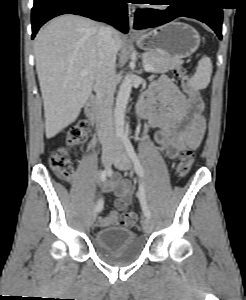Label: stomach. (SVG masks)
<instances>
[{"label": "stomach", "mask_w": 246, "mask_h": 300, "mask_svg": "<svg viewBox=\"0 0 246 300\" xmlns=\"http://www.w3.org/2000/svg\"><path fill=\"white\" fill-rule=\"evenodd\" d=\"M135 41L144 51L156 53L170 62L180 63L198 49L200 35L192 26L173 21L140 34Z\"/></svg>", "instance_id": "stomach-1"}]
</instances>
